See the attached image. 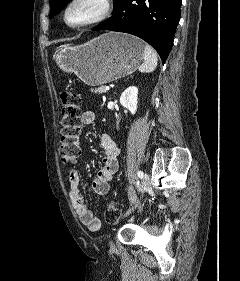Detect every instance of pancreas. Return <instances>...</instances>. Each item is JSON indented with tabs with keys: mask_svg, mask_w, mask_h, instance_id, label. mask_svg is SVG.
I'll list each match as a JSON object with an SVG mask.
<instances>
[{
	"mask_svg": "<svg viewBox=\"0 0 240 281\" xmlns=\"http://www.w3.org/2000/svg\"><path fill=\"white\" fill-rule=\"evenodd\" d=\"M104 88H105L104 86H101L99 88L91 89V92L102 94L106 92Z\"/></svg>",
	"mask_w": 240,
	"mask_h": 281,
	"instance_id": "obj_1",
	"label": "pancreas"
}]
</instances>
